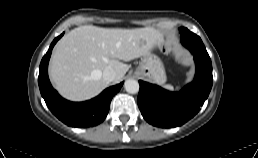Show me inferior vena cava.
<instances>
[{
	"label": "inferior vena cava",
	"mask_w": 258,
	"mask_h": 158,
	"mask_svg": "<svg viewBox=\"0 0 258 158\" xmlns=\"http://www.w3.org/2000/svg\"><path fill=\"white\" fill-rule=\"evenodd\" d=\"M116 78V72L113 68L107 67L103 70V79L107 82H113Z\"/></svg>",
	"instance_id": "1"
}]
</instances>
